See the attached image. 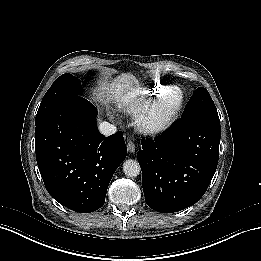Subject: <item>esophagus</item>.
I'll list each match as a JSON object with an SVG mask.
<instances>
[{
  "label": "esophagus",
  "instance_id": "1",
  "mask_svg": "<svg viewBox=\"0 0 261 261\" xmlns=\"http://www.w3.org/2000/svg\"><path fill=\"white\" fill-rule=\"evenodd\" d=\"M127 149L130 153H134L135 152V144L133 141L129 140L127 143Z\"/></svg>",
  "mask_w": 261,
  "mask_h": 261
}]
</instances>
